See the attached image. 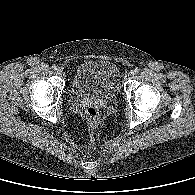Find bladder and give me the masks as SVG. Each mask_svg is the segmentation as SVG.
Masks as SVG:
<instances>
[{"mask_svg":"<svg viewBox=\"0 0 195 195\" xmlns=\"http://www.w3.org/2000/svg\"><path fill=\"white\" fill-rule=\"evenodd\" d=\"M120 90L118 67L108 60H88L79 65L71 82L73 95L113 99Z\"/></svg>","mask_w":195,"mask_h":195,"instance_id":"31cf9c89","label":"bladder"}]
</instances>
